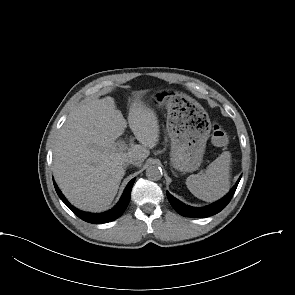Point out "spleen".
<instances>
[{
  "label": "spleen",
  "mask_w": 295,
  "mask_h": 295,
  "mask_svg": "<svg viewBox=\"0 0 295 295\" xmlns=\"http://www.w3.org/2000/svg\"><path fill=\"white\" fill-rule=\"evenodd\" d=\"M230 165L231 154L225 151L208 165L205 173L187 177V188L203 201L212 202L220 199L230 188Z\"/></svg>",
  "instance_id": "1"
}]
</instances>
